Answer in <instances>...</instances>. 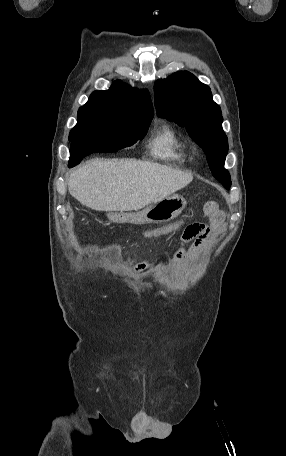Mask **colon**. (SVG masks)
Wrapping results in <instances>:
<instances>
[{"mask_svg":"<svg viewBox=\"0 0 286 456\" xmlns=\"http://www.w3.org/2000/svg\"><path fill=\"white\" fill-rule=\"evenodd\" d=\"M216 209H217V204H216L215 202H213V201L207 202V203L205 204V210H206L207 212H211V211H214V210H216ZM191 225H192V224H191ZM188 226H189V225H188Z\"/></svg>","mask_w":286,"mask_h":456,"instance_id":"obj_1","label":"colon"}]
</instances>
